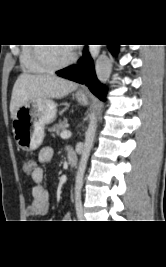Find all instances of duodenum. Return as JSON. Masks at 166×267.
<instances>
[{
  "instance_id": "410a0bca",
  "label": "duodenum",
  "mask_w": 166,
  "mask_h": 267,
  "mask_svg": "<svg viewBox=\"0 0 166 267\" xmlns=\"http://www.w3.org/2000/svg\"><path fill=\"white\" fill-rule=\"evenodd\" d=\"M68 164L70 167L75 168L77 166L76 156H68Z\"/></svg>"
}]
</instances>
